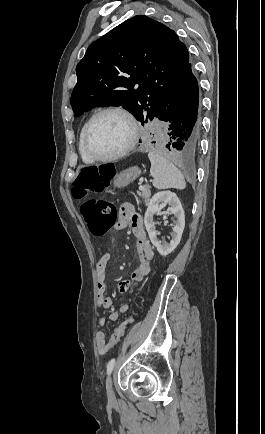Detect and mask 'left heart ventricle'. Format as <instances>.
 <instances>
[{"label":"left heart ventricle","mask_w":265,"mask_h":434,"mask_svg":"<svg viewBox=\"0 0 265 434\" xmlns=\"http://www.w3.org/2000/svg\"><path fill=\"white\" fill-rule=\"evenodd\" d=\"M131 138L127 118L116 112L102 115L95 123L90 136L92 150L100 156H109L123 150Z\"/></svg>","instance_id":"b2bd125f"}]
</instances>
